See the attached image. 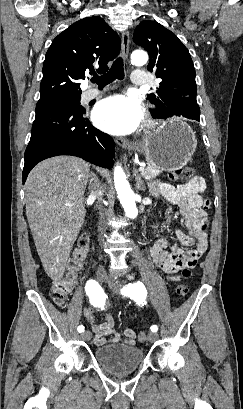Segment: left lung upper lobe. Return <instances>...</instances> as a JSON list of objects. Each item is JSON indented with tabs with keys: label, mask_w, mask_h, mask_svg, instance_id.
I'll list each match as a JSON object with an SVG mask.
<instances>
[{
	"label": "left lung upper lobe",
	"mask_w": 243,
	"mask_h": 409,
	"mask_svg": "<svg viewBox=\"0 0 243 409\" xmlns=\"http://www.w3.org/2000/svg\"><path fill=\"white\" fill-rule=\"evenodd\" d=\"M134 41L149 53L148 70L162 79L156 93L147 98L156 105L155 118H167L170 111L179 115L200 113L196 101L195 69L188 49L178 37L155 21L145 20L134 31Z\"/></svg>",
	"instance_id": "1"
}]
</instances>
